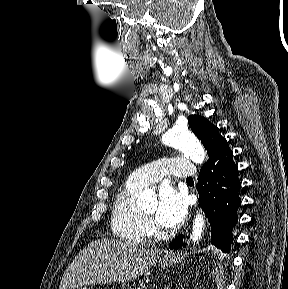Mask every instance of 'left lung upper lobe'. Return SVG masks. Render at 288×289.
<instances>
[{
	"label": "left lung upper lobe",
	"mask_w": 288,
	"mask_h": 289,
	"mask_svg": "<svg viewBox=\"0 0 288 289\" xmlns=\"http://www.w3.org/2000/svg\"><path fill=\"white\" fill-rule=\"evenodd\" d=\"M188 124L191 130L207 150L209 158L213 155L220 141L224 139L218 131V128L210 123L206 118L198 115H190Z\"/></svg>",
	"instance_id": "5c2ea615"
}]
</instances>
